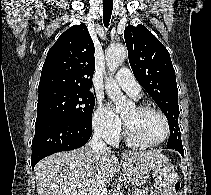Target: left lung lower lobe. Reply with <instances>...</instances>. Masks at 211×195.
<instances>
[{
    "label": "left lung lower lobe",
    "instance_id": "1",
    "mask_svg": "<svg viewBox=\"0 0 211 195\" xmlns=\"http://www.w3.org/2000/svg\"><path fill=\"white\" fill-rule=\"evenodd\" d=\"M167 149H172L177 151L182 157L184 156V150H183V146H175V147H166Z\"/></svg>",
    "mask_w": 211,
    "mask_h": 195
}]
</instances>
